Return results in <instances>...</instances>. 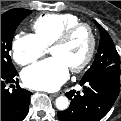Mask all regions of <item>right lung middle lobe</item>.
I'll return each mask as SVG.
<instances>
[{
  "label": "right lung middle lobe",
  "instance_id": "1",
  "mask_svg": "<svg viewBox=\"0 0 121 121\" xmlns=\"http://www.w3.org/2000/svg\"><path fill=\"white\" fill-rule=\"evenodd\" d=\"M29 14H31V10L18 8L1 15V71L16 70L12 64L9 51L17 26Z\"/></svg>",
  "mask_w": 121,
  "mask_h": 121
}]
</instances>
